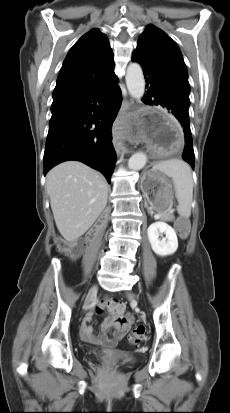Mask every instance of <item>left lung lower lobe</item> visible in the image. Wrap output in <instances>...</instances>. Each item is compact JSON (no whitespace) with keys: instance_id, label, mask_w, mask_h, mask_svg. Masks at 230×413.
<instances>
[{"instance_id":"obj_1","label":"left lung lower lobe","mask_w":230,"mask_h":413,"mask_svg":"<svg viewBox=\"0 0 230 413\" xmlns=\"http://www.w3.org/2000/svg\"><path fill=\"white\" fill-rule=\"evenodd\" d=\"M132 61L138 62L135 59H132ZM140 64L143 68L146 87L148 88L142 101L149 105H161L180 122L185 138L182 158L194 168V151L188 113L189 100L183 94L173 89L157 71L142 63Z\"/></svg>"}]
</instances>
